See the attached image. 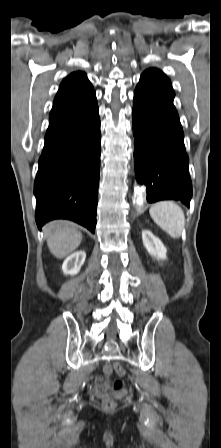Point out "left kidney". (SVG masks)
<instances>
[{"label":"left kidney","instance_id":"obj_1","mask_svg":"<svg viewBox=\"0 0 221 448\" xmlns=\"http://www.w3.org/2000/svg\"><path fill=\"white\" fill-rule=\"evenodd\" d=\"M142 241L143 245L148 251V253L156 258L157 260H165L167 259V249L161 240L153 235L149 230L142 231Z\"/></svg>","mask_w":221,"mask_h":448}]
</instances>
